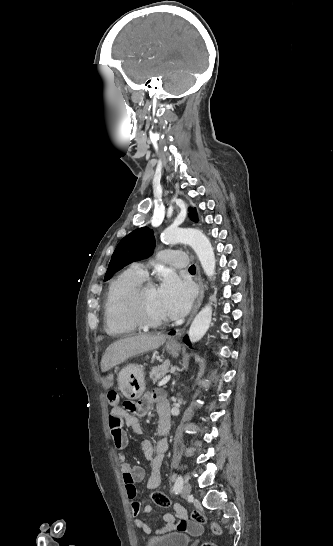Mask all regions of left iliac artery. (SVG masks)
<instances>
[{"instance_id":"left-iliac-artery-1","label":"left iliac artery","mask_w":333,"mask_h":546,"mask_svg":"<svg viewBox=\"0 0 333 546\" xmlns=\"http://www.w3.org/2000/svg\"><path fill=\"white\" fill-rule=\"evenodd\" d=\"M183 477L181 475H179L175 481V484H174V487H173V492L174 493H177L179 492L181 489H182V486H183Z\"/></svg>"}]
</instances>
